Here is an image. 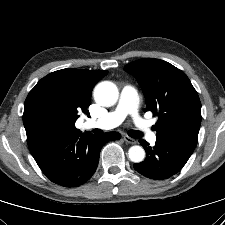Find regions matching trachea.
I'll use <instances>...</instances> for the list:
<instances>
[{
  "mask_svg": "<svg viewBox=\"0 0 225 225\" xmlns=\"http://www.w3.org/2000/svg\"><path fill=\"white\" fill-rule=\"evenodd\" d=\"M128 134L132 138H141L143 136V134L140 131H136V130H131L129 131Z\"/></svg>",
  "mask_w": 225,
  "mask_h": 225,
  "instance_id": "1",
  "label": "trachea"
}]
</instances>
